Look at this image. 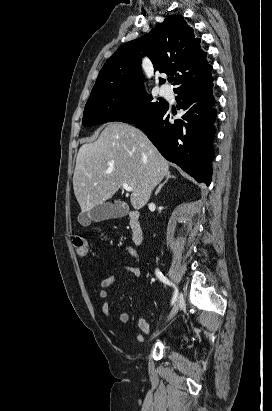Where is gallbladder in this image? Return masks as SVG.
I'll list each match as a JSON object with an SVG mask.
<instances>
[{"label":"gallbladder","mask_w":272,"mask_h":411,"mask_svg":"<svg viewBox=\"0 0 272 411\" xmlns=\"http://www.w3.org/2000/svg\"><path fill=\"white\" fill-rule=\"evenodd\" d=\"M129 208L121 201L114 203L104 202L92 208L87 213H82L78 217L79 223L87 227L93 222H102L104 220L116 219L127 215Z\"/></svg>","instance_id":"obj_1"}]
</instances>
